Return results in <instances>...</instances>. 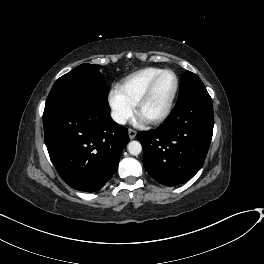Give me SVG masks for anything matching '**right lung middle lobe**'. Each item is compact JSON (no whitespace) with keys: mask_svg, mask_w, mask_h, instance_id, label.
<instances>
[{"mask_svg":"<svg viewBox=\"0 0 264 264\" xmlns=\"http://www.w3.org/2000/svg\"><path fill=\"white\" fill-rule=\"evenodd\" d=\"M101 68L100 65L82 64L57 79L48 95L44 110L61 106L87 93L108 95L107 90L102 88L104 78L99 72Z\"/></svg>","mask_w":264,"mask_h":264,"instance_id":"obj_1","label":"right lung middle lobe"}]
</instances>
